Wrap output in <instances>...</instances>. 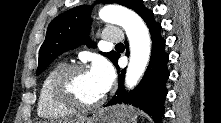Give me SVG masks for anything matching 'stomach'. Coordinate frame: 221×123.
I'll use <instances>...</instances> for the list:
<instances>
[{
  "label": "stomach",
  "instance_id": "obj_1",
  "mask_svg": "<svg viewBox=\"0 0 221 123\" xmlns=\"http://www.w3.org/2000/svg\"><path fill=\"white\" fill-rule=\"evenodd\" d=\"M79 123H136L134 110L125 105L101 108L92 117H83Z\"/></svg>",
  "mask_w": 221,
  "mask_h": 123
}]
</instances>
